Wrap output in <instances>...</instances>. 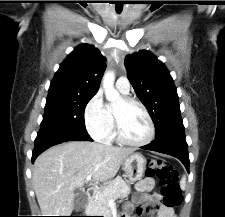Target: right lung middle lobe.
Instances as JSON below:
<instances>
[{
  "label": "right lung middle lobe",
  "instance_id": "obj_1",
  "mask_svg": "<svg viewBox=\"0 0 225 217\" xmlns=\"http://www.w3.org/2000/svg\"><path fill=\"white\" fill-rule=\"evenodd\" d=\"M94 95L49 93L40 127H56L85 132L84 111Z\"/></svg>",
  "mask_w": 225,
  "mask_h": 217
}]
</instances>
